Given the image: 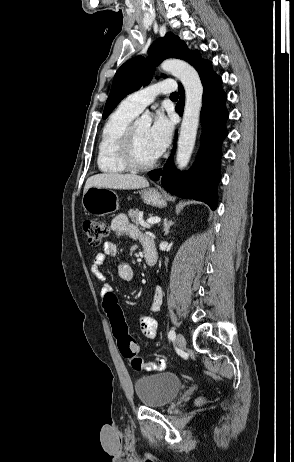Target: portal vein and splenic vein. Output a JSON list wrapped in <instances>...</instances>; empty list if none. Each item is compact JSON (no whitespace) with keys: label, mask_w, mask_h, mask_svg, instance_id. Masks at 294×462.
<instances>
[{"label":"portal vein and splenic vein","mask_w":294,"mask_h":462,"mask_svg":"<svg viewBox=\"0 0 294 462\" xmlns=\"http://www.w3.org/2000/svg\"><path fill=\"white\" fill-rule=\"evenodd\" d=\"M160 222V218L158 217H152V218H149L146 222V225H152V224H157Z\"/></svg>","instance_id":"1"}]
</instances>
